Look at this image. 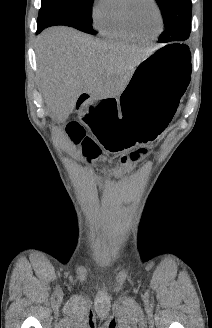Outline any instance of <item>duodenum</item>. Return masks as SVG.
<instances>
[{
    "instance_id": "410a0bca",
    "label": "duodenum",
    "mask_w": 212,
    "mask_h": 328,
    "mask_svg": "<svg viewBox=\"0 0 212 328\" xmlns=\"http://www.w3.org/2000/svg\"><path fill=\"white\" fill-rule=\"evenodd\" d=\"M89 100H90L89 97H85L83 99H79L78 104H79L80 107L81 106H84V105H86L89 102Z\"/></svg>"
}]
</instances>
